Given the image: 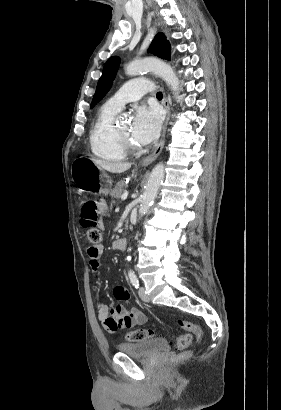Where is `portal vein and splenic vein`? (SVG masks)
<instances>
[{
    "instance_id": "obj_1",
    "label": "portal vein and splenic vein",
    "mask_w": 281,
    "mask_h": 410,
    "mask_svg": "<svg viewBox=\"0 0 281 410\" xmlns=\"http://www.w3.org/2000/svg\"><path fill=\"white\" fill-rule=\"evenodd\" d=\"M127 197H128V191H124V193L121 196V199L125 200V199H127Z\"/></svg>"
}]
</instances>
